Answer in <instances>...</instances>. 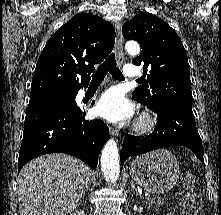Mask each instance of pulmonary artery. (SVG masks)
<instances>
[{"mask_svg": "<svg viewBox=\"0 0 221 215\" xmlns=\"http://www.w3.org/2000/svg\"><path fill=\"white\" fill-rule=\"evenodd\" d=\"M123 74L127 78H135L139 75L138 68L135 65H125L123 68Z\"/></svg>", "mask_w": 221, "mask_h": 215, "instance_id": "1", "label": "pulmonary artery"}]
</instances>
